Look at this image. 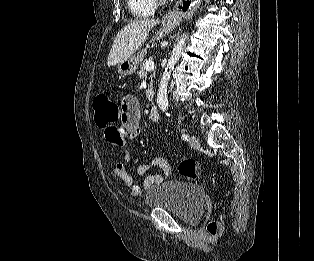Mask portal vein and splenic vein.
Returning <instances> with one entry per match:
<instances>
[{
	"label": "portal vein and splenic vein",
	"instance_id": "18ae733b",
	"mask_svg": "<svg viewBox=\"0 0 314 261\" xmlns=\"http://www.w3.org/2000/svg\"><path fill=\"white\" fill-rule=\"evenodd\" d=\"M144 68L146 71H151L154 69V61L151 59V60H148L145 62L144 64Z\"/></svg>",
	"mask_w": 314,
	"mask_h": 261
}]
</instances>
